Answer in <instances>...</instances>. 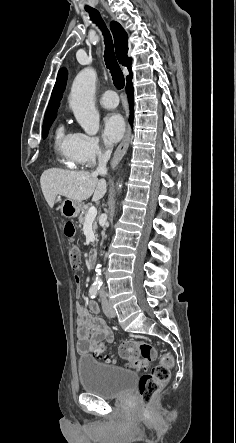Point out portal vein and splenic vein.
<instances>
[{"mask_svg":"<svg viewBox=\"0 0 236 443\" xmlns=\"http://www.w3.org/2000/svg\"><path fill=\"white\" fill-rule=\"evenodd\" d=\"M96 215H97V209L95 207H91L88 210V213L86 215V220L85 221L86 222H93L95 217H96Z\"/></svg>","mask_w":236,"mask_h":443,"instance_id":"obj_1","label":"portal vein and splenic vein"}]
</instances>
